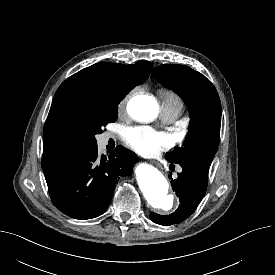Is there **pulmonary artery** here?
<instances>
[{"mask_svg":"<svg viewBox=\"0 0 275 275\" xmlns=\"http://www.w3.org/2000/svg\"><path fill=\"white\" fill-rule=\"evenodd\" d=\"M181 113V109L174 106L162 105L161 117L164 122L170 123L178 118Z\"/></svg>","mask_w":275,"mask_h":275,"instance_id":"pulmonary-artery-1","label":"pulmonary artery"}]
</instances>
